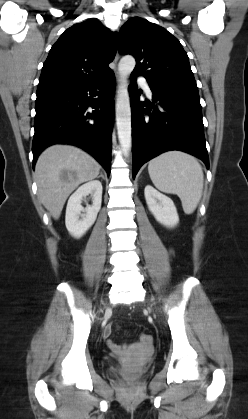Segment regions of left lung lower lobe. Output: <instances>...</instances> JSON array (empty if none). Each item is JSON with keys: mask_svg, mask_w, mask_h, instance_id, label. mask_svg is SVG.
<instances>
[{"mask_svg": "<svg viewBox=\"0 0 248 419\" xmlns=\"http://www.w3.org/2000/svg\"><path fill=\"white\" fill-rule=\"evenodd\" d=\"M136 77L131 74L132 84L129 86L133 178L144 163L169 150L192 154L203 160L208 168L209 158L198 93H172L149 85L154 103L140 102V94L134 84Z\"/></svg>", "mask_w": 248, "mask_h": 419, "instance_id": "1", "label": "left lung lower lobe"}]
</instances>
